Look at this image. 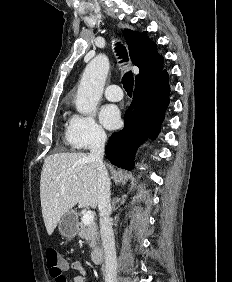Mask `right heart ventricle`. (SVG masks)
I'll return each instance as SVG.
<instances>
[{"label":"right heart ventricle","mask_w":232,"mask_h":282,"mask_svg":"<svg viewBox=\"0 0 232 282\" xmlns=\"http://www.w3.org/2000/svg\"><path fill=\"white\" fill-rule=\"evenodd\" d=\"M65 141L70 143L69 136H68V129L65 131ZM71 144V143H70Z\"/></svg>","instance_id":"1"}]
</instances>
